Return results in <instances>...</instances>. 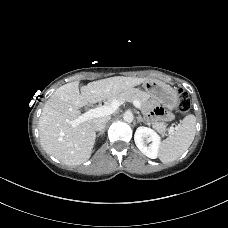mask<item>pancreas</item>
I'll use <instances>...</instances> for the list:
<instances>
[{"mask_svg": "<svg viewBox=\"0 0 228 228\" xmlns=\"http://www.w3.org/2000/svg\"><path fill=\"white\" fill-rule=\"evenodd\" d=\"M120 102H133L134 100L139 101L140 107L145 109L147 107L149 96L147 93L139 90V89H130L127 91H123L117 95L115 98ZM153 128L156 129L160 134H165L167 131V125L163 122H154L152 124Z\"/></svg>", "mask_w": 228, "mask_h": 228, "instance_id": "obj_1", "label": "pancreas"}]
</instances>
